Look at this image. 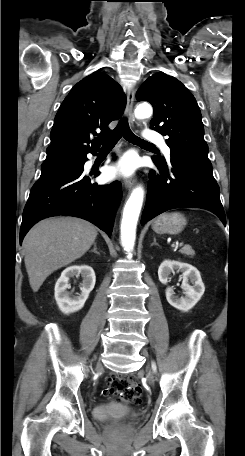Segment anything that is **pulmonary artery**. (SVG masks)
Masks as SVG:
<instances>
[{"mask_svg": "<svg viewBox=\"0 0 245 456\" xmlns=\"http://www.w3.org/2000/svg\"><path fill=\"white\" fill-rule=\"evenodd\" d=\"M144 140L148 141V142L158 143L161 146V148L164 151V153L167 156L170 155V149L166 145V143L163 140V137L159 133H157V132H155L153 130H146L144 132Z\"/></svg>", "mask_w": 245, "mask_h": 456, "instance_id": "obj_1", "label": "pulmonary artery"}]
</instances>
